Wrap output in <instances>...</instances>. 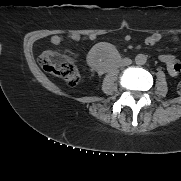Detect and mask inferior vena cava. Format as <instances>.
I'll return each instance as SVG.
<instances>
[{"mask_svg": "<svg viewBox=\"0 0 181 181\" xmlns=\"http://www.w3.org/2000/svg\"><path fill=\"white\" fill-rule=\"evenodd\" d=\"M121 64L123 66H128V65L132 64V60L129 58H124V59H122Z\"/></svg>", "mask_w": 181, "mask_h": 181, "instance_id": "obj_1", "label": "inferior vena cava"}]
</instances>
